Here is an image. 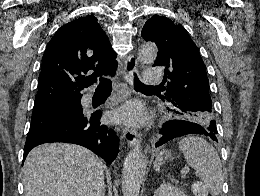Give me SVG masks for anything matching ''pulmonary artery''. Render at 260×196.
<instances>
[{"label":"pulmonary artery","mask_w":260,"mask_h":196,"mask_svg":"<svg viewBox=\"0 0 260 196\" xmlns=\"http://www.w3.org/2000/svg\"><path fill=\"white\" fill-rule=\"evenodd\" d=\"M143 84H158V81L161 80V72L159 69H144ZM90 100V97L88 98Z\"/></svg>","instance_id":"e3ab8cb5"}]
</instances>
